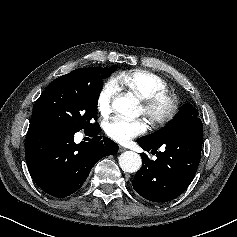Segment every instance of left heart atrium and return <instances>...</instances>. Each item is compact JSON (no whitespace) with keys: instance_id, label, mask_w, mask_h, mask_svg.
I'll list each match as a JSON object with an SVG mask.
<instances>
[{"instance_id":"left-heart-atrium-1","label":"left heart atrium","mask_w":237,"mask_h":237,"mask_svg":"<svg viewBox=\"0 0 237 237\" xmlns=\"http://www.w3.org/2000/svg\"><path fill=\"white\" fill-rule=\"evenodd\" d=\"M146 124L141 119L126 120L114 117L105 124L106 134L119 143H127L132 138L146 131Z\"/></svg>"}]
</instances>
